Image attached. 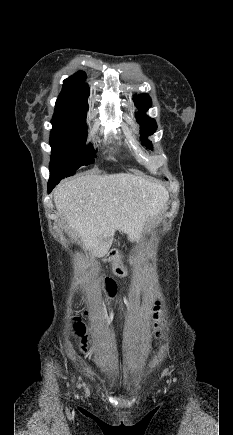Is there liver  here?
Instances as JSON below:
<instances>
[{"label":"liver","instance_id":"obj_1","mask_svg":"<svg viewBox=\"0 0 233 435\" xmlns=\"http://www.w3.org/2000/svg\"><path fill=\"white\" fill-rule=\"evenodd\" d=\"M54 203L83 248L108 253L116 230L139 242L148 223L166 208L164 186L129 173L87 174L60 183Z\"/></svg>","mask_w":233,"mask_h":435}]
</instances>
